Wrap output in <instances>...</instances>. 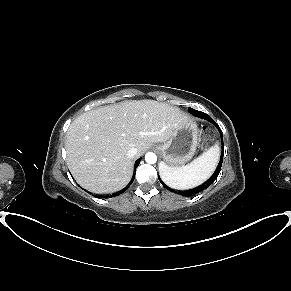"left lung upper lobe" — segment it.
<instances>
[{
	"mask_svg": "<svg viewBox=\"0 0 291 291\" xmlns=\"http://www.w3.org/2000/svg\"><path fill=\"white\" fill-rule=\"evenodd\" d=\"M193 110H195V109L190 108V109H189V112L192 114V111H193Z\"/></svg>",
	"mask_w": 291,
	"mask_h": 291,
	"instance_id": "5c2ea615",
	"label": "left lung upper lobe"
}]
</instances>
